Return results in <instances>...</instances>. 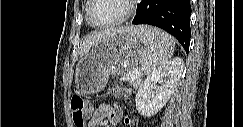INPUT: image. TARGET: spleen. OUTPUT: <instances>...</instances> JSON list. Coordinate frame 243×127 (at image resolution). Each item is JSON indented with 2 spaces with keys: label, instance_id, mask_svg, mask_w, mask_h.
Here are the masks:
<instances>
[{
  "label": "spleen",
  "instance_id": "1",
  "mask_svg": "<svg viewBox=\"0 0 243 127\" xmlns=\"http://www.w3.org/2000/svg\"><path fill=\"white\" fill-rule=\"evenodd\" d=\"M138 33L147 43L142 71L150 75L168 62L173 55L175 42L169 34L155 27L141 26Z\"/></svg>",
  "mask_w": 243,
  "mask_h": 127
}]
</instances>
